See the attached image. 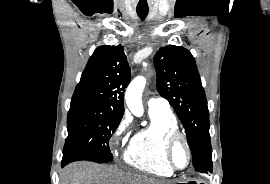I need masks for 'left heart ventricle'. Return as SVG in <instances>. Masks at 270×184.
Here are the masks:
<instances>
[{
  "mask_svg": "<svg viewBox=\"0 0 270 184\" xmlns=\"http://www.w3.org/2000/svg\"><path fill=\"white\" fill-rule=\"evenodd\" d=\"M172 160L174 164L179 168H183L187 164L188 161L187 151L184 144L181 141H178L173 148Z\"/></svg>",
  "mask_w": 270,
  "mask_h": 184,
  "instance_id": "b2bd125f",
  "label": "left heart ventricle"
}]
</instances>
